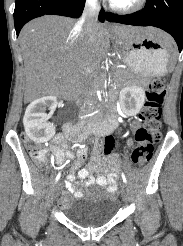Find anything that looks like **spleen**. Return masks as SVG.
Returning <instances> with one entry per match:
<instances>
[{
    "label": "spleen",
    "instance_id": "spleen-1",
    "mask_svg": "<svg viewBox=\"0 0 183 246\" xmlns=\"http://www.w3.org/2000/svg\"><path fill=\"white\" fill-rule=\"evenodd\" d=\"M137 55H138L139 57H143L145 54H144L143 52H139ZM166 71H167V69H166Z\"/></svg>",
    "mask_w": 183,
    "mask_h": 246
}]
</instances>
